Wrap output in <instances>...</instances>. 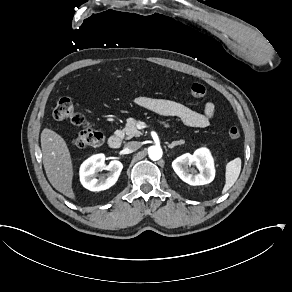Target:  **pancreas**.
I'll use <instances>...</instances> for the list:
<instances>
[{"label":"pancreas","mask_w":292,"mask_h":292,"mask_svg":"<svg viewBox=\"0 0 292 292\" xmlns=\"http://www.w3.org/2000/svg\"><path fill=\"white\" fill-rule=\"evenodd\" d=\"M157 122L161 125H163L165 128H170V124L164 119V118H159ZM141 124V121L134 118V117H129L126 119V126L123 130L125 135H127L126 139H130L134 137L135 135L140 136L141 133L140 131L137 130V125ZM176 125L173 123L172 125V130L176 131ZM116 135L123 137V135L120 133V131H116Z\"/></svg>","instance_id":"cf45deb5"}]
</instances>
